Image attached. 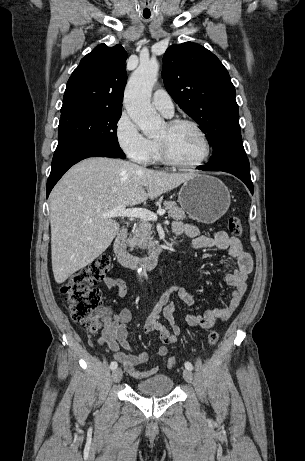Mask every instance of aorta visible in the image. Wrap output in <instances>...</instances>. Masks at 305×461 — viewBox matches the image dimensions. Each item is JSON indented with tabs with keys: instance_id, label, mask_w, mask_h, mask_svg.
<instances>
[{
	"instance_id": "1",
	"label": "aorta",
	"mask_w": 305,
	"mask_h": 461,
	"mask_svg": "<svg viewBox=\"0 0 305 461\" xmlns=\"http://www.w3.org/2000/svg\"><path fill=\"white\" fill-rule=\"evenodd\" d=\"M159 64L155 60L142 61L131 75L124 94V105L129 117L148 137L162 132L164 120L151 106L150 96L157 81ZM139 277L145 275L143 266L138 269Z\"/></svg>"
}]
</instances>
